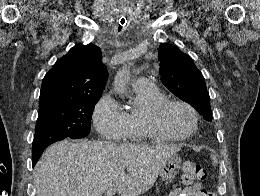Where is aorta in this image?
<instances>
[{"instance_id":"obj_1","label":"aorta","mask_w":260,"mask_h":196,"mask_svg":"<svg viewBox=\"0 0 260 196\" xmlns=\"http://www.w3.org/2000/svg\"><path fill=\"white\" fill-rule=\"evenodd\" d=\"M129 69L127 65L123 66L114 77V90L116 93L123 95L127 89V83L129 81Z\"/></svg>"}]
</instances>
